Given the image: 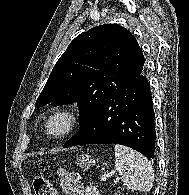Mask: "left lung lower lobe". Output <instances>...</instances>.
Wrapping results in <instances>:
<instances>
[{
	"instance_id": "1",
	"label": "left lung lower lobe",
	"mask_w": 189,
	"mask_h": 195,
	"mask_svg": "<svg viewBox=\"0 0 189 195\" xmlns=\"http://www.w3.org/2000/svg\"><path fill=\"white\" fill-rule=\"evenodd\" d=\"M155 139L150 86L141 74L112 92L63 147L117 143L153 159Z\"/></svg>"
}]
</instances>
